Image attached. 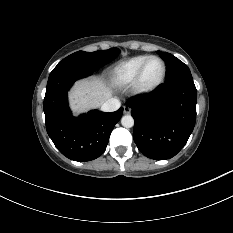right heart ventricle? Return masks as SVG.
I'll list each match as a JSON object with an SVG mask.
<instances>
[{
  "instance_id": "e07e8e85",
  "label": "right heart ventricle",
  "mask_w": 233,
  "mask_h": 233,
  "mask_svg": "<svg viewBox=\"0 0 233 233\" xmlns=\"http://www.w3.org/2000/svg\"><path fill=\"white\" fill-rule=\"evenodd\" d=\"M148 55H139L118 63L111 71V81L117 87L132 85L138 70Z\"/></svg>"
}]
</instances>
